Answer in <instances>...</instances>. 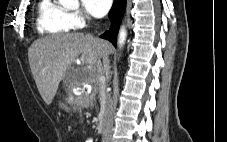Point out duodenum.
<instances>
[{
  "label": "duodenum",
  "mask_w": 227,
  "mask_h": 142,
  "mask_svg": "<svg viewBox=\"0 0 227 142\" xmlns=\"http://www.w3.org/2000/svg\"><path fill=\"white\" fill-rule=\"evenodd\" d=\"M104 116H105V110H103L100 114L99 121H98L96 128H95L97 132H101L103 130Z\"/></svg>",
  "instance_id": "410a0bca"
}]
</instances>
